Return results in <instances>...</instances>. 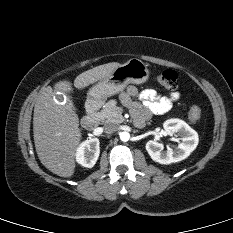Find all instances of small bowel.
Masks as SVG:
<instances>
[{"label":"small bowel","mask_w":233,"mask_h":233,"mask_svg":"<svg viewBox=\"0 0 233 233\" xmlns=\"http://www.w3.org/2000/svg\"><path fill=\"white\" fill-rule=\"evenodd\" d=\"M136 97L140 102L132 100V98ZM179 98V92L162 95L154 89L139 91L133 85L128 86L126 91L121 94L122 102L130 108L136 124L139 125L148 120L153 114H164L169 111L173 103L178 101Z\"/></svg>","instance_id":"c3829d8e"}]
</instances>
